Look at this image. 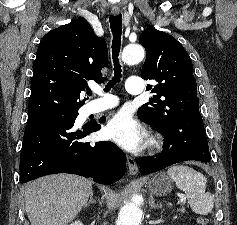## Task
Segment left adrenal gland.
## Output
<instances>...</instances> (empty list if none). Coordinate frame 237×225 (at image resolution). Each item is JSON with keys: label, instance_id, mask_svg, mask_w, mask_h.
<instances>
[{"label": "left adrenal gland", "instance_id": "obj_1", "mask_svg": "<svg viewBox=\"0 0 237 225\" xmlns=\"http://www.w3.org/2000/svg\"><path fill=\"white\" fill-rule=\"evenodd\" d=\"M149 206H150V208H154V209L162 208L161 204H155V201H154V198L152 195L149 198Z\"/></svg>", "mask_w": 237, "mask_h": 225}]
</instances>
